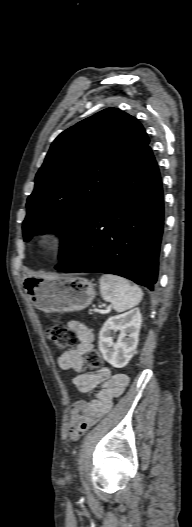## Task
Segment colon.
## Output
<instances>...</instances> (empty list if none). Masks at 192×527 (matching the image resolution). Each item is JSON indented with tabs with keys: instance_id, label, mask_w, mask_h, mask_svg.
Instances as JSON below:
<instances>
[{
	"instance_id": "1",
	"label": "colon",
	"mask_w": 192,
	"mask_h": 527,
	"mask_svg": "<svg viewBox=\"0 0 192 527\" xmlns=\"http://www.w3.org/2000/svg\"><path fill=\"white\" fill-rule=\"evenodd\" d=\"M47 338L57 350L66 349L75 345L77 342L76 332L61 323H54L48 327ZM85 364L90 372L95 374L100 373L103 363L99 352L96 350L88 352L85 356Z\"/></svg>"
}]
</instances>
